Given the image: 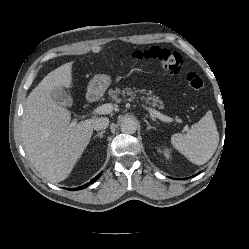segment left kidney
<instances>
[{"label": "left kidney", "instance_id": "left-kidney-1", "mask_svg": "<svg viewBox=\"0 0 249 249\" xmlns=\"http://www.w3.org/2000/svg\"><path fill=\"white\" fill-rule=\"evenodd\" d=\"M159 152H161V151H159ZM163 153H164V155H165L166 158L170 157V153H169L168 150L163 151Z\"/></svg>", "mask_w": 249, "mask_h": 249}]
</instances>
